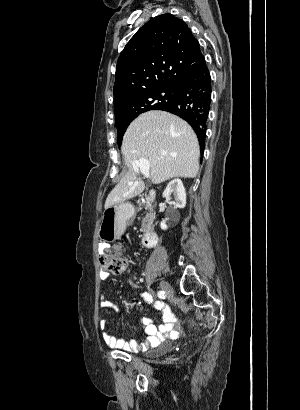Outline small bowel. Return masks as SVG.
I'll return each mask as SVG.
<instances>
[{
	"label": "small bowel",
	"instance_id": "1",
	"mask_svg": "<svg viewBox=\"0 0 300 410\" xmlns=\"http://www.w3.org/2000/svg\"><path fill=\"white\" fill-rule=\"evenodd\" d=\"M109 278V274L102 272L100 274V279L105 281ZM141 298L149 303H152L154 308L162 313L164 323L157 329L150 318H142L140 320L141 329L146 336L145 341L137 340H124L118 339L114 335L109 334L106 331L107 320L102 318L99 320V328L102 331V338L107 346L115 349H122L128 352H138L144 351L150 347L157 346L163 339L177 335L180 331V324L177 322L174 314L172 313L170 307L163 302H154L152 297L148 293H143ZM100 306L103 309H107L114 313H122L123 309L116 305L115 303L108 301L104 296L101 297Z\"/></svg>",
	"mask_w": 300,
	"mask_h": 410
}]
</instances>
